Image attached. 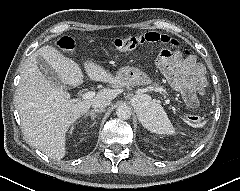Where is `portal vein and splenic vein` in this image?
Here are the masks:
<instances>
[{"mask_svg": "<svg viewBox=\"0 0 240 191\" xmlns=\"http://www.w3.org/2000/svg\"><path fill=\"white\" fill-rule=\"evenodd\" d=\"M95 96V92L94 91H88V92H85L83 95H82V99L83 100H86V99H91Z\"/></svg>", "mask_w": 240, "mask_h": 191, "instance_id": "obj_1", "label": "portal vein and splenic vein"}]
</instances>
